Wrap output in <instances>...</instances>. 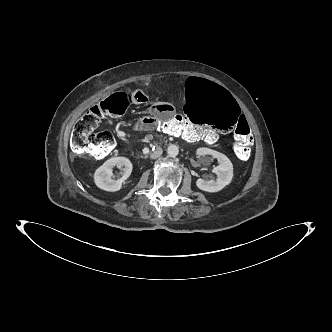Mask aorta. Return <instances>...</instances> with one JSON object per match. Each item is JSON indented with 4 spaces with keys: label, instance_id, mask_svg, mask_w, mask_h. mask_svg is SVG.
Segmentation results:
<instances>
[{
    "label": "aorta",
    "instance_id": "762f6f07",
    "mask_svg": "<svg viewBox=\"0 0 332 332\" xmlns=\"http://www.w3.org/2000/svg\"><path fill=\"white\" fill-rule=\"evenodd\" d=\"M179 153V148L176 145H170L167 149V154L170 157H176Z\"/></svg>",
    "mask_w": 332,
    "mask_h": 332
}]
</instances>
